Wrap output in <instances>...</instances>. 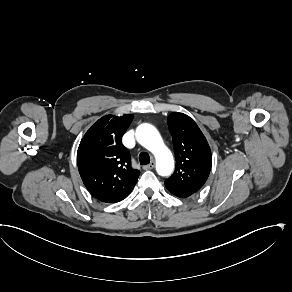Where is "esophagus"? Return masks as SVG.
I'll use <instances>...</instances> for the list:
<instances>
[{"label": "esophagus", "instance_id": "34e87169", "mask_svg": "<svg viewBox=\"0 0 292 292\" xmlns=\"http://www.w3.org/2000/svg\"><path fill=\"white\" fill-rule=\"evenodd\" d=\"M154 166H155V162L154 161H151L150 164L144 165L143 166V169L144 170H151L152 168H154Z\"/></svg>", "mask_w": 292, "mask_h": 292}]
</instances>
